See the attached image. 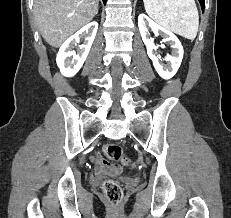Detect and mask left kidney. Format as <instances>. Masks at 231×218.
Wrapping results in <instances>:
<instances>
[{"label":"left kidney","instance_id":"1","mask_svg":"<svg viewBox=\"0 0 231 218\" xmlns=\"http://www.w3.org/2000/svg\"><path fill=\"white\" fill-rule=\"evenodd\" d=\"M138 27L142 40L147 48V54L152 60L157 73L164 79H170L179 69L183 59L184 51L179 39L171 31L158 25L143 13L138 16ZM149 28H151L156 35H161L165 42H170L173 49L172 55L166 57V61L170 63V66H165L159 62L156 54V46L153 43V39L149 37Z\"/></svg>","mask_w":231,"mask_h":218}]
</instances>
